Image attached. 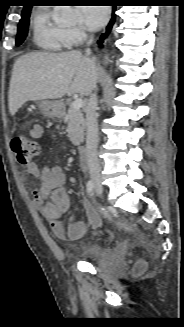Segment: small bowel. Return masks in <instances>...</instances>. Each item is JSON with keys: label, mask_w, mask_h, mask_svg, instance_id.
<instances>
[{"label": "small bowel", "mask_w": 184, "mask_h": 327, "mask_svg": "<svg viewBox=\"0 0 184 327\" xmlns=\"http://www.w3.org/2000/svg\"><path fill=\"white\" fill-rule=\"evenodd\" d=\"M43 128L34 124L29 134L33 138H40ZM29 175L37 178L39 184L32 190V198L41 214L50 222L52 232L58 238L77 240L84 236L86 224L82 221L71 220L65 227L61 217L70 208V198L64 188L65 174L59 166H44L40 168L35 162L27 165Z\"/></svg>", "instance_id": "1"}]
</instances>
